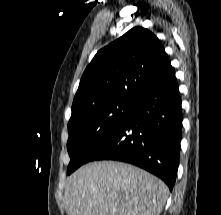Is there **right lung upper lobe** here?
Instances as JSON below:
<instances>
[{
	"mask_svg": "<svg viewBox=\"0 0 221 215\" xmlns=\"http://www.w3.org/2000/svg\"><path fill=\"white\" fill-rule=\"evenodd\" d=\"M173 77L160 40L137 26L97 52L81 77L72 107L106 100L134 101Z\"/></svg>",
	"mask_w": 221,
	"mask_h": 215,
	"instance_id": "cb5924a9",
	"label": "right lung upper lobe"
}]
</instances>
